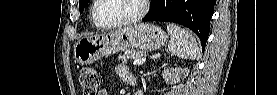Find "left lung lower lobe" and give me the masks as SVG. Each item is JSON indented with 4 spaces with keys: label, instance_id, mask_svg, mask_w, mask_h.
<instances>
[{
    "label": "left lung lower lobe",
    "instance_id": "1",
    "mask_svg": "<svg viewBox=\"0 0 277 95\" xmlns=\"http://www.w3.org/2000/svg\"><path fill=\"white\" fill-rule=\"evenodd\" d=\"M215 0H154L143 21H163L184 25L200 38L204 50L210 30Z\"/></svg>",
    "mask_w": 277,
    "mask_h": 95
}]
</instances>
